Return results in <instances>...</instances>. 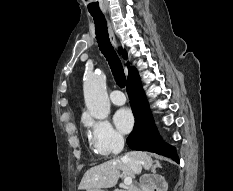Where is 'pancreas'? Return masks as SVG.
I'll use <instances>...</instances> for the list:
<instances>
[{"label": "pancreas", "mask_w": 233, "mask_h": 191, "mask_svg": "<svg viewBox=\"0 0 233 191\" xmlns=\"http://www.w3.org/2000/svg\"><path fill=\"white\" fill-rule=\"evenodd\" d=\"M115 191H138V190H136V188L135 187H130V188H127V189H125V190H115Z\"/></svg>", "instance_id": "cf45deb5"}]
</instances>
